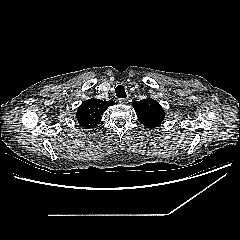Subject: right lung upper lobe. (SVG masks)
<instances>
[{"label":"right lung upper lobe","instance_id":"1","mask_svg":"<svg viewBox=\"0 0 240 240\" xmlns=\"http://www.w3.org/2000/svg\"><path fill=\"white\" fill-rule=\"evenodd\" d=\"M114 104L115 102L112 100L102 101L99 99H89L84 101L76 113L78 123L87 129L96 127L101 121L103 112Z\"/></svg>","mask_w":240,"mask_h":240}]
</instances>
